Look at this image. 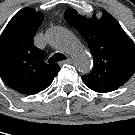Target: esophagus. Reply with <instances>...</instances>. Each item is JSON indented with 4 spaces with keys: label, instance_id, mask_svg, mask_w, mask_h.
Wrapping results in <instances>:
<instances>
[{
    "label": "esophagus",
    "instance_id": "34e87169",
    "mask_svg": "<svg viewBox=\"0 0 135 135\" xmlns=\"http://www.w3.org/2000/svg\"><path fill=\"white\" fill-rule=\"evenodd\" d=\"M61 65L64 64H72V59L71 58H67V60L60 62Z\"/></svg>",
    "mask_w": 135,
    "mask_h": 135
}]
</instances>
